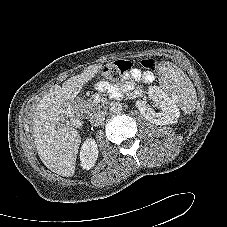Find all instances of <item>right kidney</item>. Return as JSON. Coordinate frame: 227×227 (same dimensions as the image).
I'll return each instance as SVG.
<instances>
[{
	"label": "right kidney",
	"instance_id": "obj_1",
	"mask_svg": "<svg viewBox=\"0 0 227 227\" xmlns=\"http://www.w3.org/2000/svg\"><path fill=\"white\" fill-rule=\"evenodd\" d=\"M98 147L96 141L88 138L84 141L80 151V161L83 169L89 170L94 167L98 158Z\"/></svg>",
	"mask_w": 227,
	"mask_h": 227
}]
</instances>
